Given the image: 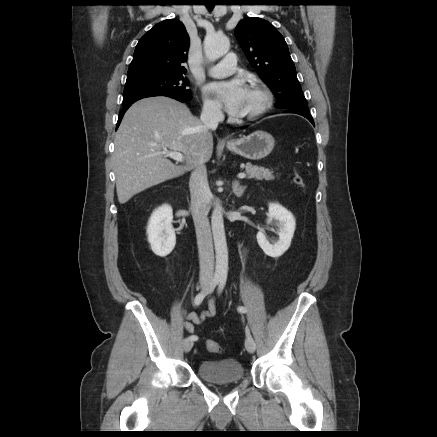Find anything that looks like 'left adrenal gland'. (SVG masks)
Returning <instances> with one entry per match:
<instances>
[{
	"label": "left adrenal gland",
	"mask_w": 437,
	"mask_h": 437,
	"mask_svg": "<svg viewBox=\"0 0 437 437\" xmlns=\"http://www.w3.org/2000/svg\"><path fill=\"white\" fill-rule=\"evenodd\" d=\"M247 186H241L240 183L238 181H234L232 183V189H233V193L237 196V197H241L244 193V191L246 190Z\"/></svg>",
	"instance_id": "left-adrenal-gland-1"
}]
</instances>
